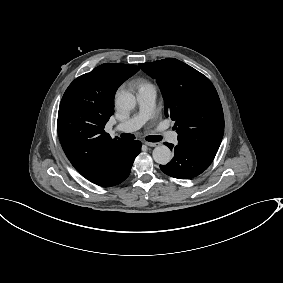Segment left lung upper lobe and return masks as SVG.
Returning <instances> with one entry per match:
<instances>
[{"instance_id":"left-lung-upper-lobe-1","label":"left lung upper lobe","mask_w":283,"mask_h":283,"mask_svg":"<svg viewBox=\"0 0 283 283\" xmlns=\"http://www.w3.org/2000/svg\"><path fill=\"white\" fill-rule=\"evenodd\" d=\"M139 66L156 79L163 94L165 115L176 121L178 142L216 154L223 138L224 116L211 81L174 58Z\"/></svg>"}]
</instances>
